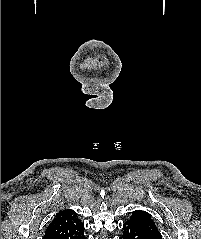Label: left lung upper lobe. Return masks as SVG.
Listing matches in <instances>:
<instances>
[{"mask_svg": "<svg viewBox=\"0 0 201 239\" xmlns=\"http://www.w3.org/2000/svg\"><path fill=\"white\" fill-rule=\"evenodd\" d=\"M129 221L142 224L156 239H162V236L149 213L139 210L135 211Z\"/></svg>", "mask_w": 201, "mask_h": 239, "instance_id": "left-lung-upper-lobe-1", "label": "left lung upper lobe"}]
</instances>
